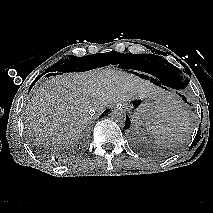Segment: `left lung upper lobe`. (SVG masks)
I'll return each instance as SVG.
<instances>
[{"label":"left lung upper lobe","mask_w":213,"mask_h":213,"mask_svg":"<svg viewBox=\"0 0 213 213\" xmlns=\"http://www.w3.org/2000/svg\"><path fill=\"white\" fill-rule=\"evenodd\" d=\"M134 60L138 65L137 69L170 79L175 85L174 89H184L188 85V80L183 79L181 70L158 55L139 54Z\"/></svg>","instance_id":"obj_1"}]
</instances>
